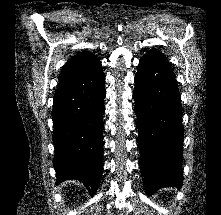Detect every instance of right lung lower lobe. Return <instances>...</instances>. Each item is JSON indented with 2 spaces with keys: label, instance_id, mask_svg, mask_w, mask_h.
I'll list each match as a JSON object with an SVG mask.
<instances>
[{
  "label": "right lung lower lobe",
  "instance_id": "98d812e1",
  "mask_svg": "<svg viewBox=\"0 0 221 215\" xmlns=\"http://www.w3.org/2000/svg\"><path fill=\"white\" fill-rule=\"evenodd\" d=\"M105 76L102 69L60 86L54 95L52 119L57 182L77 179L95 194L102 174V116Z\"/></svg>",
  "mask_w": 221,
  "mask_h": 215
}]
</instances>
